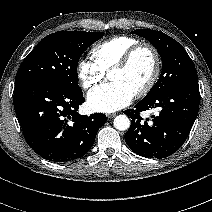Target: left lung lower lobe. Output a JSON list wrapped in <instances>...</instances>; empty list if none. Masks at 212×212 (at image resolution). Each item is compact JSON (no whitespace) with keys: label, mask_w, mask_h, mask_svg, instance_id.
I'll return each mask as SVG.
<instances>
[{"label":"left lung lower lobe","mask_w":212,"mask_h":212,"mask_svg":"<svg viewBox=\"0 0 212 212\" xmlns=\"http://www.w3.org/2000/svg\"><path fill=\"white\" fill-rule=\"evenodd\" d=\"M198 79L179 83L168 90L141 100L124 113L132 119L125 141L136 154L146 158H165L176 152L187 139L198 113ZM157 108L152 122L142 121L140 112Z\"/></svg>","instance_id":"left-lung-lower-lobe-1"}]
</instances>
